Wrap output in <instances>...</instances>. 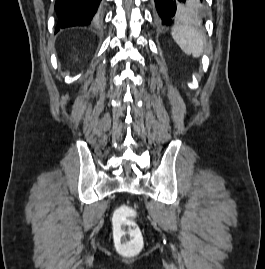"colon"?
<instances>
[{
    "label": "colon",
    "instance_id": "colon-1",
    "mask_svg": "<svg viewBox=\"0 0 265 269\" xmlns=\"http://www.w3.org/2000/svg\"><path fill=\"white\" fill-rule=\"evenodd\" d=\"M136 216L132 208L121 207L115 212V239L121 249L136 246L141 233L134 221Z\"/></svg>",
    "mask_w": 265,
    "mask_h": 269
}]
</instances>
